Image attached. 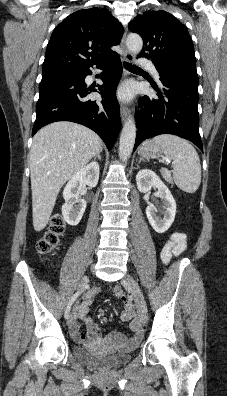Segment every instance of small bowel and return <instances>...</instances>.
<instances>
[{
	"instance_id": "small-bowel-1",
	"label": "small bowel",
	"mask_w": 227,
	"mask_h": 396,
	"mask_svg": "<svg viewBox=\"0 0 227 396\" xmlns=\"http://www.w3.org/2000/svg\"><path fill=\"white\" fill-rule=\"evenodd\" d=\"M186 248V235L180 232L172 233L161 251L162 262L164 264L168 263L173 256L181 255ZM112 291L118 297L123 294L118 287H114ZM98 292L99 290L96 289L87 294L78 307L76 318L70 326L73 337L78 341H90L95 344L105 343L117 346H132L137 344L142 338V331L138 320L134 317V308L130 303L125 304V308L121 313V319L123 321H130V337L127 338L123 333L117 331L111 332L105 337L101 335L99 327L93 322L89 314L90 306ZM79 321H82L86 325L85 333L80 331Z\"/></svg>"
}]
</instances>
